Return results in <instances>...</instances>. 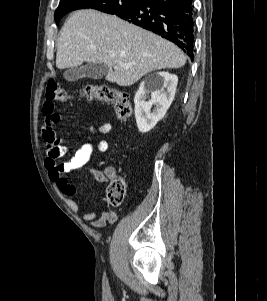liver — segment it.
Masks as SVG:
<instances>
[{
  "label": "liver",
  "instance_id": "1",
  "mask_svg": "<svg viewBox=\"0 0 267 301\" xmlns=\"http://www.w3.org/2000/svg\"><path fill=\"white\" fill-rule=\"evenodd\" d=\"M186 59L182 50L170 41L115 15L89 9L74 12L64 24L56 67L103 63L108 68L107 81L130 86L151 71L183 67ZM120 62L129 67L121 66Z\"/></svg>",
  "mask_w": 267,
  "mask_h": 301
}]
</instances>
